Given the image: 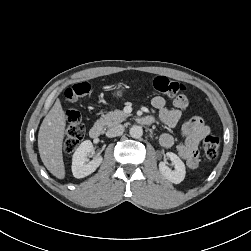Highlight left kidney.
Instances as JSON below:
<instances>
[{"mask_svg": "<svg viewBox=\"0 0 251 251\" xmlns=\"http://www.w3.org/2000/svg\"><path fill=\"white\" fill-rule=\"evenodd\" d=\"M166 156L170 158L172 163L174 164V170H171L167 165L166 162L159 163V171L167 180L174 184H179L185 178L186 168L183 161L172 152L166 153Z\"/></svg>", "mask_w": 251, "mask_h": 251, "instance_id": "obj_1", "label": "left kidney"}]
</instances>
